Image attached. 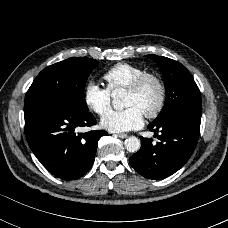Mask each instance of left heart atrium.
<instances>
[{
	"label": "left heart atrium",
	"mask_w": 228,
	"mask_h": 228,
	"mask_svg": "<svg viewBox=\"0 0 228 228\" xmlns=\"http://www.w3.org/2000/svg\"><path fill=\"white\" fill-rule=\"evenodd\" d=\"M143 113L136 107H127L123 110H111L101 119L103 128L110 132H127L141 127Z\"/></svg>",
	"instance_id": "left-heart-atrium-1"
}]
</instances>
